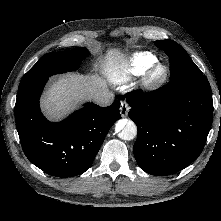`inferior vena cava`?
I'll return each mask as SVG.
<instances>
[{
	"instance_id": "inferior-vena-cava-1",
	"label": "inferior vena cava",
	"mask_w": 221,
	"mask_h": 221,
	"mask_svg": "<svg viewBox=\"0 0 221 221\" xmlns=\"http://www.w3.org/2000/svg\"><path fill=\"white\" fill-rule=\"evenodd\" d=\"M114 101V94L111 92L104 93L94 98V102L99 106H109Z\"/></svg>"
}]
</instances>
